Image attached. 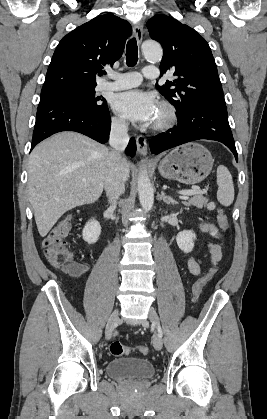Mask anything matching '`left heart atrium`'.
Returning <instances> with one entry per match:
<instances>
[{
    "instance_id": "left-heart-atrium-1",
    "label": "left heart atrium",
    "mask_w": 267,
    "mask_h": 419,
    "mask_svg": "<svg viewBox=\"0 0 267 419\" xmlns=\"http://www.w3.org/2000/svg\"><path fill=\"white\" fill-rule=\"evenodd\" d=\"M112 106L116 112L142 124L152 123L159 108L153 93L139 89L117 94Z\"/></svg>"
}]
</instances>
